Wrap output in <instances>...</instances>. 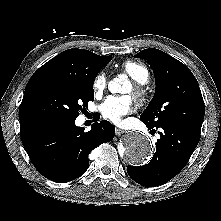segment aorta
<instances>
[{
    "label": "aorta",
    "instance_id": "aorta-1",
    "mask_svg": "<svg viewBox=\"0 0 221 221\" xmlns=\"http://www.w3.org/2000/svg\"><path fill=\"white\" fill-rule=\"evenodd\" d=\"M126 76L120 75L109 82L108 88L112 93H125ZM152 155L150 139L144 134L134 131L128 133L122 142L121 156L133 165L146 163Z\"/></svg>",
    "mask_w": 221,
    "mask_h": 221
}]
</instances>
